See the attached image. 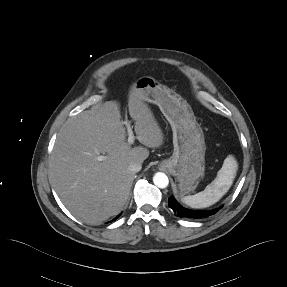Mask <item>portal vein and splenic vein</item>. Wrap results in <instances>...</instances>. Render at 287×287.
<instances>
[{"mask_svg": "<svg viewBox=\"0 0 287 287\" xmlns=\"http://www.w3.org/2000/svg\"><path fill=\"white\" fill-rule=\"evenodd\" d=\"M124 124L126 125L127 127V131H128V143L129 144H133L134 143V140H135V136L133 134V131H132V128L130 126V123L129 122H124ZM98 161H102V160H105L106 159V156H98Z\"/></svg>", "mask_w": 287, "mask_h": 287, "instance_id": "portal-vein-and-splenic-vein-1", "label": "portal vein and splenic vein"}]
</instances>
